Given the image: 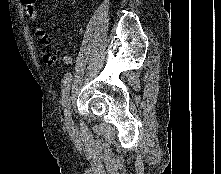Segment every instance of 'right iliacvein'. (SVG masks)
I'll return each instance as SVG.
<instances>
[{
    "label": "right iliac vein",
    "mask_w": 221,
    "mask_h": 174,
    "mask_svg": "<svg viewBox=\"0 0 221 174\" xmlns=\"http://www.w3.org/2000/svg\"><path fill=\"white\" fill-rule=\"evenodd\" d=\"M71 101L72 97L71 94H69L65 105V123L68 128L73 127Z\"/></svg>",
    "instance_id": "1"
}]
</instances>
